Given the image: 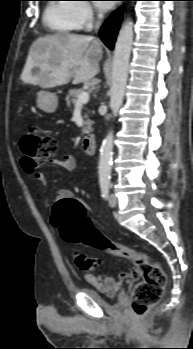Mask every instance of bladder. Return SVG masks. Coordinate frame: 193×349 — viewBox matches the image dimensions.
I'll return each mask as SVG.
<instances>
[{
	"label": "bladder",
	"mask_w": 193,
	"mask_h": 349,
	"mask_svg": "<svg viewBox=\"0 0 193 349\" xmlns=\"http://www.w3.org/2000/svg\"><path fill=\"white\" fill-rule=\"evenodd\" d=\"M84 292L87 295H89L97 304L108 307V308L111 306L96 289L86 287L84 288ZM121 298H123V293H119L115 299L119 300Z\"/></svg>",
	"instance_id": "1"
}]
</instances>
